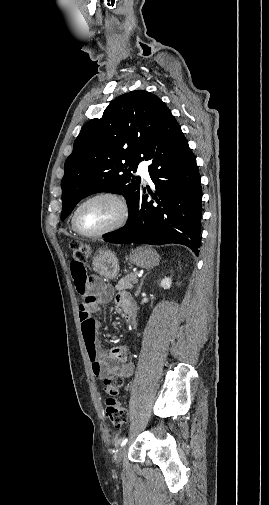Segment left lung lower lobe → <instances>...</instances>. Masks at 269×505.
Masks as SVG:
<instances>
[{"mask_svg": "<svg viewBox=\"0 0 269 505\" xmlns=\"http://www.w3.org/2000/svg\"><path fill=\"white\" fill-rule=\"evenodd\" d=\"M146 161L155 185L140 188L128 222L104 238L113 243L162 245L178 243L199 253L202 189L196 158L181 127L168 112L152 135Z\"/></svg>", "mask_w": 269, "mask_h": 505, "instance_id": "obj_1", "label": "left lung lower lobe"}]
</instances>
